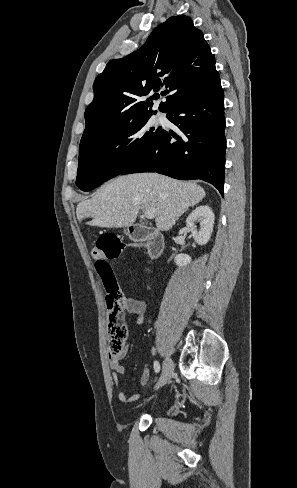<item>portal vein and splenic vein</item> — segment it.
I'll return each instance as SVG.
<instances>
[{"label": "portal vein and splenic vein", "instance_id": "obj_1", "mask_svg": "<svg viewBox=\"0 0 297 488\" xmlns=\"http://www.w3.org/2000/svg\"><path fill=\"white\" fill-rule=\"evenodd\" d=\"M156 210L154 208H149L144 211V216L148 219H152L155 217Z\"/></svg>", "mask_w": 297, "mask_h": 488}]
</instances>
